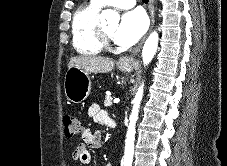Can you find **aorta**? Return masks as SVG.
Returning a JSON list of instances; mask_svg holds the SVG:
<instances>
[{
	"instance_id": "aorta-1",
	"label": "aorta",
	"mask_w": 227,
	"mask_h": 166,
	"mask_svg": "<svg viewBox=\"0 0 227 166\" xmlns=\"http://www.w3.org/2000/svg\"><path fill=\"white\" fill-rule=\"evenodd\" d=\"M101 21H112L118 22L119 21V14L111 9H105L101 13ZM159 36L156 31L152 32L149 37L147 38L143 50H142V60L144 65H148L158 47ZM143 96V85L138 88V91L135 95L133 100V108L130 115V123L128 127L127 137L125 141V154H124V166H131L133 155H134V139H135V125L138 119L139 107L140 102Z\"/></svg>"
}]
</instances>
